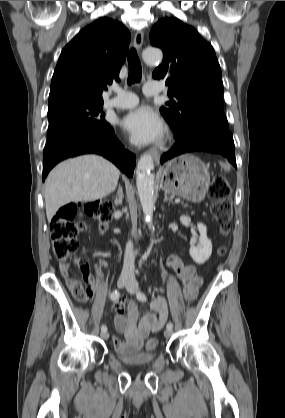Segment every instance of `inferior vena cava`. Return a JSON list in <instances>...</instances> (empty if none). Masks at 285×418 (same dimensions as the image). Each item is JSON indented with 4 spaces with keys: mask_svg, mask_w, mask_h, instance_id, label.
Returning <instances> with one entry per match:
<instances>
[{
    "mask_svg": "<svg viewBox=\"0 0 285 418\" xmlns=\"http://www.w3.org/2000/svg\"><path fill=\"white\" fill-rule=\"evenodd\" d=\"M122 274L126 276L134 275V252L131 242L126 245Z\"/></svg>",
    "mask_w": 285,
    "mask_h": 418,
    "instance_id": "inferior-vena-cava-1",
    "label": "inferior vena cava"
}]
</instances>
